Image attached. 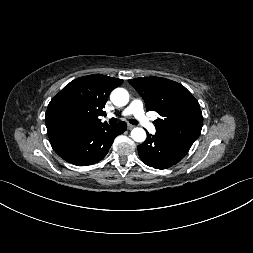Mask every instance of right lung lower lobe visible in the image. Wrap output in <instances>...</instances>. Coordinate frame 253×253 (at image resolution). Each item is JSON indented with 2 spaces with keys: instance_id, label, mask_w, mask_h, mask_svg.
<instances>
[{
  "instance_id": "right-lung-lower-lobe-1",
  "label": "right lung lower lobe",
  "mask_w": 253,
  "mask_h": 253,
  "mask_svg": "<svg viewBox=\"0 0 253 253\" xmlns=\"http://www.w3.org/2000/svg\"><path fill=\"white\" fill-rule=\"evenodd\" d=\"M127 130V124L105 125L51 142L54 151L76 166L98 163L108 153L116 136Z\"/></svg>"
}]
</instances>
